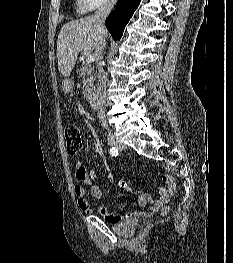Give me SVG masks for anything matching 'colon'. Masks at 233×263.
I'll list each match as a JSON object with an SVG mask.
<instances>
[{"instance_id": "colon-1", "label": "colon", "mask_w": 233, "mask_h": 263, "mask_svg": "<svg viewBox=\"0 0 233 263\" xmlns=\"http://www.w3.org/2000/svg\"><path fill=\"white\" fill-rule=\"evenodd\" d=\"M64 136L68 153L77 154L82 148V137L79 128L75 125H68L64 130ZM137 174L139 175L140 173L138 172ZM166 212L167 209L162 211L163 214Z\"/></svg>"}]
</instances>
